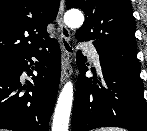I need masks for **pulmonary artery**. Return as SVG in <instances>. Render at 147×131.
Segmentation results:
<instances>
[{"instance_id": "1", "label": "pulmonary artery", "mask_w": 147, "mask_h": 131, "mask_svg": "<svg viewBox=\"0 0 147 131\" xmlns=\"http://www.w3.org/2000/svg\"><path fill=\"white\" fill-rule=\"evenodd\" d=\"M82 48L88 52L97 70L101 71L100 59H99V55L96 49L92 45H89V44H84Z\"/></svg>"}]
</instances>
